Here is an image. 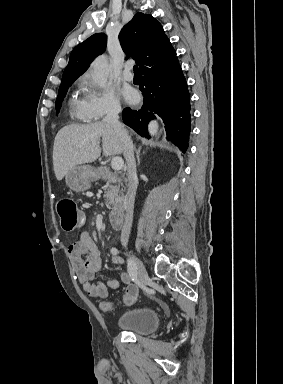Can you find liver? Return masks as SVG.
Segmentation results:
<instances>
[{
	"instance_id": "obj_1",
	"label": "liver",
	"mask_w": 283,
	"mask_h": 384,
	"mask_svg": "<svg viewBox=\"0 0 283 384\" xmlns=\"http://www.w3.org/2000/svg\"><path fill=\"white\" fill-rule=\"evenodd\" d=\"M100 138L103 156L123 154V144L113 126L105 122L72 124L59 130L53 146V166L57 180H63L69 170L79 164H91L100 158Z\"/></svg>"
}]
</instances>
